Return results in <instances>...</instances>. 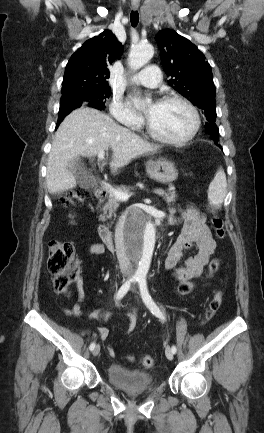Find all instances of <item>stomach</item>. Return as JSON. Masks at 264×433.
Segmentation results:
<instances>
[{
	"label": "stomach",
	"instance_id": "1",
	"mask_svg": "<svg viewBox=\"0 0 264 433\" xmlns=\"http://www.w3.org/2000/svg\"><path fill=\"white\" fill-rule=\"evenodd\" d=\"M148 176L160 183L168 184L178 177V170L172 161L167 159L149 160L145 164Z\"/></svg>",
	"mask_w": 264,
	"mask_h": 433
}]
</instances>
